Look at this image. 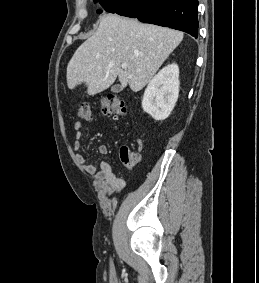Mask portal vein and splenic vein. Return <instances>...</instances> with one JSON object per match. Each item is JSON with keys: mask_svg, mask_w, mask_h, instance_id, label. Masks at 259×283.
Returning a JSON list of instances; mask_svg holds the SVG:
<instances>
[{"mask_svg": "<svg viewBox=\"0 0 259 283\" xmlns=\"http://www.w3.org/2000/svg\"><path fill=\"white\" fill-rule=\"evenodd\" d=\"M121 67H122L123 69H126V68L128 67V65L125 64V63H123V64L121 65Z\"/></svg>", "mask_w": 259, "mask_h": 283, "instance_id": "portal-vein-and-splenic-vein-1", "label": "portal vein and splenic vein"}]
</instances>
